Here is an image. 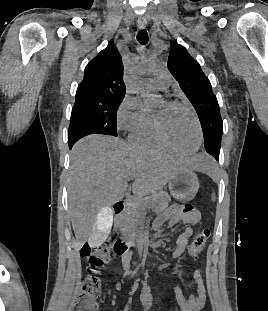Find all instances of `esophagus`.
Segmentation results:
<instances>
[{
  "label": "esophagus",
  "mask_w": 268,
  "mask_h": 311,
  "mask_svg": "<svg viewBox=\"0 0 268 311\" xmlns=\"http://www.w3.org/2000/svg\"><path fill=\"white\" fill-rule=\"evenodd\" d=\"M137 25L140 29H144L147 25V21L144 17H139L137 21Z\"/></svg>",
  "instance_id": "esophagus-1"
}]
</instances>
